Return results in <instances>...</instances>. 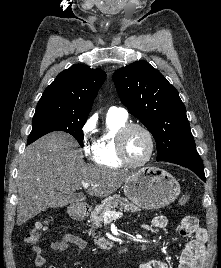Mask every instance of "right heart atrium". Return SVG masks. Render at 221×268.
Returning <instances> with one entry per match:
<instances>
[{"instance_id": "obj_1", "label": "right heart atrium", "mask_w": 221, "mask_h": 268, "mask_svg": "<svg viewBox=\"0 0 221 268\" xmlns=\"http://www.w3.org/2000/svg\"><path fill=\"white\" fill-rule=\"evenodd\" d=\"M95 119L89 118L85 121L84 125L82 126V147L85 155L88 158H92L94 156L96 143L93 140V133L95 129Z\"/></svg>"}]
</instances>
